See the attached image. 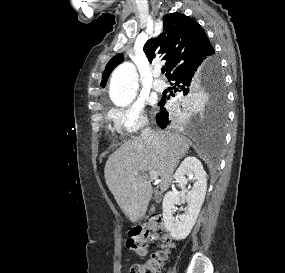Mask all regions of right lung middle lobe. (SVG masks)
<instances>
[{
    "instance_id": "right-lung-middle-lobe-1",
    "label": "right lung middle lobe",
    "mask_w": 285,
    "mask_h": 273,
    "mask_svg": "<svg viewBox=\"0 0 285 273\" xmlns=\"http://www.w3.org/2000/svg\"><path fill=\"white\" fill-rule=\"evenodd\" d=\"M212 95L219 96L222 102V106L219 110V115L222 120L225 119L226 109H225V90H224V78L220 70L219 61L214 57L211 61L210 67L207 70L205 81L202 85L195 88L189 95L179 97V104L191 103L193 99L200 95ZM182 101V102H181Z\"/></svg>"
}]
</instances>
